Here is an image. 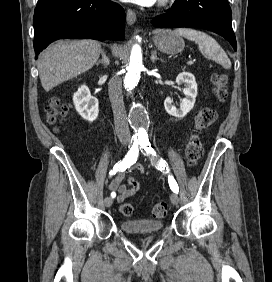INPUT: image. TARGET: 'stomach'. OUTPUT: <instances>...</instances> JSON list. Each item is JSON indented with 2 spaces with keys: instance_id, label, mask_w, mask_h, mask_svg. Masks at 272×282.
I'll return each instance as SVG.
<instances>
[{
  "instance_id": "0dacf381",
  "label": "stomach",
  "mask_w": 272,
  "mask_h": 282,
  "mask_svg": "<svg viewBox=\"0 0 272 282\" xmlns=\"http://www.w3.org/2000/svg\"><path fill=\"white\" fill-rule=\"evenodd\" d=\"M153 42L160 51L167 54L180 53L185 47L184 40L169 30H158L153 37Z\"/></svg>"
}]
</instances>
